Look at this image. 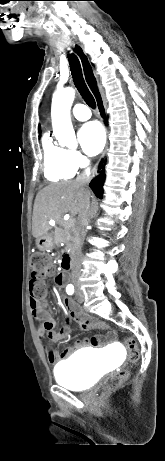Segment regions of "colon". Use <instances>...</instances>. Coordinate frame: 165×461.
Wrapping results in <instances>:
<instances>
[{"label": "colon", "mask_w": 165, "mask_h": 461, "mask_svg": "<svg viewBox=\"0 0 165 461\" xmlns=\"http://www.w3.org/2000/svg\"><path fill=\"white\" fill-rule=\"evenodd\" d=\"M54 269L51 265L50 259L43 254H37L33 257L31 262V281L30 291L31 296L40 304L46 297V288L43 279L52 275ZM125 345L128 350V357L131 362H137L139 359V348L133 338H127ZM128 372L121 370L109 376L103 383L102 392L104 394L110 393L119 388L122 383L128 378Z\"/></svg>", "instance_id": "5ec220e1"}]
</instances>
